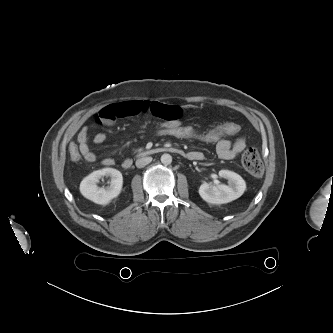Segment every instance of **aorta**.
<instances>
[{"mask_svg": "<svg viewBox=\"0 0 333 333\" xmlns=\"http://www.w3.org/2000/svg\"><path fill=\"white\" fill-rule=\"evenodd\" d=\"M161 162L164 165H169L172 162V156L170 154H163L161 156Z\"/></svg>", "mask_w": 333, "mask_h": 333, "instance_id": "obj_1", "label": "aorta"}]
</instances>
